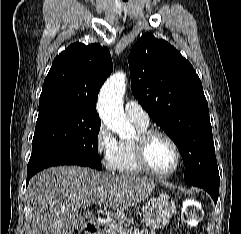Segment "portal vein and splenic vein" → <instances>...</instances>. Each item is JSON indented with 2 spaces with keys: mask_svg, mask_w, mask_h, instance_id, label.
Listing matches in <instances>:
<instances>
[{
  "mask_svg": "<svg viewBox=\"0 0 241 234\" xmlns=\"http://www.w3.org/2000/svg\"><path fill=\"white\" fill-rule=\"evenodd\" d=\"M103 202H104L103 199L99 200V201H98V205H102Z\"/></svg>",
  "mask_w": 241,
  "mask_h": 234,
  "instance_id": "1",
  "label": "portal vein and splenic vein"
}]
</instances>
